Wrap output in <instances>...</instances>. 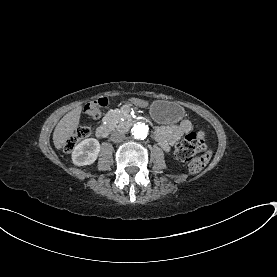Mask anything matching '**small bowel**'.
I'll list each match as a JSON object with an SVG mask.
<instances>
[{
    "label": "small bowel",
    "instance_id": "1",
    "mask_svg": "<svg viewBox=\"0 0 277 277\" xmlns=\"http://www.w3.org/2000/svg\"><path fill=\"white\" fill-rule=\"evenodd\" d=\"M192 127V123L189 120H182L172 125L160 126L155 132V139L159 146L168 152L185 134L192 130Z\"/></svg>",
    "mask_w": 277,
    "mask_h": 277
}]
</instances>
